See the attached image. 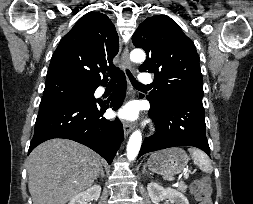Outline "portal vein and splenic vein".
Listing matches in <instances>:
<instances>
[{
    "mask_svg": "<svg viewBox=\"0 0 253 204\" xmlns=\"http://www.w3.org/2000/svg\"><path fill=\"white\" fill-rule=\"evenodd\" d=\"M188 176H189V175H188V173H187V172H185V173H184V177L187 179V178H188Z\"/></svg>",
    "mask_w": 253,
    "mask_h": 204,
    "instance_id": "1",
    "label": "portal vein and splenic vein"
}]
</instances>
